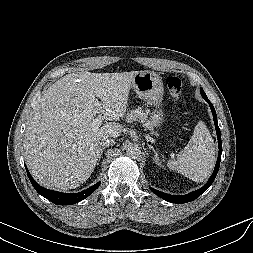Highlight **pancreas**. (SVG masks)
<instances>
[{"label":"pancreas","instance_id":"cf45deb5","mask_svg":"<svg viewBox=\"0 0 253 253\" xmlns=\"http://www.w3.org/2000/svg\"><path fill=\"white\" fill-rule=\"evenodd\" d=\"M126 121L131 123L133 121H141L143 127L148 130H153L151 122L147 113H145L141 108L131 110L126 117Z\"/></svg>","mask_w":253,"mask_h":253}]
</instances>
